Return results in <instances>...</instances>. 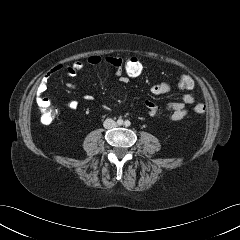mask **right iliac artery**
I'll list each match as a JSON object with an SVG mask.
<instances>
[{"label": "right iliac artery", "mask_w": 240, "mask_h": 240, "mask_svg": "<svg viewBox=\"0 0 240 240\" xmlns=\"http://www.w3.org/2000/svg\"><path fill=\"white\" fill-rule=\"evenodd\" d=\"M117 124H118V125H122V124H123V120H122V119H118V120H117Z\"/></svg>", "instance_id": "1"}]
</instances>
